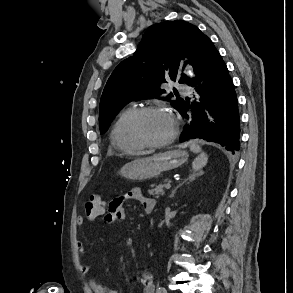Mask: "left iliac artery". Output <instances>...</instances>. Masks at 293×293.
<instances>
[{
  "instance_id": "1",
  "label": "left iliac artery",
  "mask_w": 293,
  "mask_h": 293,
  "mask_svg": "<svg viewBox=\"0 0 293 293\" xmlns=\"http://www.w3.org/2000/svg\"><path fill=\"white\" fill-rule=\"evenodd\" d=\"M157 293H167L166 289L163 287H159Z\"/></svg>"
}]
</instances>
